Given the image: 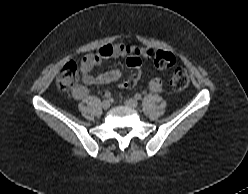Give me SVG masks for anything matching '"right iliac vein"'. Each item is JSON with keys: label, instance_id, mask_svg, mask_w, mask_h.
<instances>
[{"label": "right iliac vein", "instance_id": "obj_1", "mask_svg": "<svg viewBox=\"0 0 248 194\" xmlns=\"http://www.w3.org/2000/svg\"><path fill=\"white\" fill-rule=\"evenodd\" d=\"M102 107L107 110L110 107V102L108 100H103Z\"/></svg>", "mask_w": 248, "mask_h": 194}]
</instances>
